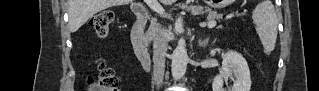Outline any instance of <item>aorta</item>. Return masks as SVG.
Segmentation results:
<instances>
[{"label":"aorta","mask_w":319,"mask_h":91,"mask_svg":"<svg viewBox=\"0 0 319 91\" xmlns=\"http://www.w3.org/2000/svg\"><path fill=\"white\" fill-rule=\"evenodd\" d=\"M188 55L184 44H178L172 55L171 73L174 80H180L186 72Z\"/></svg>","instance_id":"762f6f07"}]
</instances>
